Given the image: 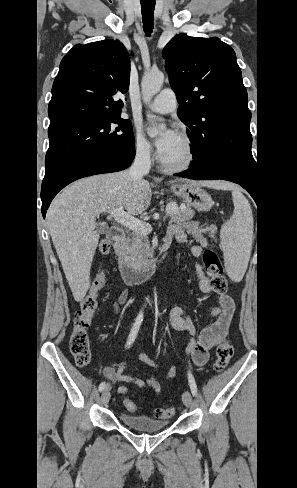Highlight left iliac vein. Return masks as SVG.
I'll return each instance as SVG.
<instances>
[{
    "mask_svg": "<svg viewBox=\"0 0 297 488\" xmlns=\"http://www.w3.org/2000/svg\"><path fill=\"white\" fill-rule=\"evenodd\" d=\"M183 403L186 407L190 408L193 404L192 396L189 391H185L182 396Z\"/></svg>",
    "mask_w": 297,
    "mask_h": 488,
    "instance_id": "left-iliac-vein-1",
    "label": "left iliac vein"
}]
</instances>
